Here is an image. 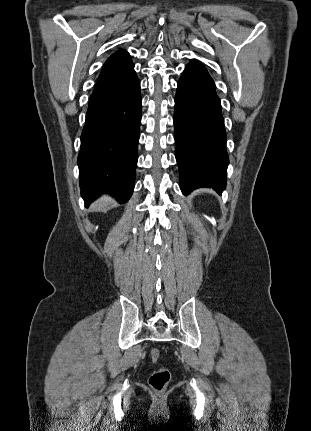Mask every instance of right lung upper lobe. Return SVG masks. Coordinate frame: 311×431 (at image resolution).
<instances>
[{
  "label": "right lung upper lobe",
  "mask_w": 311,
  "mask_h": 431,
  "mask_svg": "<svg viewBox=\"0 0 311 431\" xmlns=\"http://www.w3.org/2000/svg\"><path fill=\"white\" fill-rule=\"evenodd\" d=\"M132 66L130 55L125 50H119L105 62L98 80L122 74Z\"/></svg>",
  "instance_id": "1"
}]
</instances>
